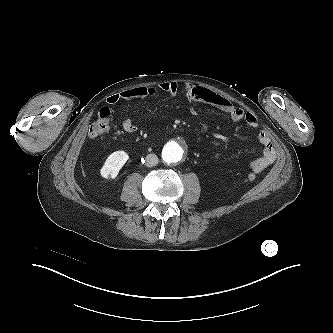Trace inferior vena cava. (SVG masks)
I'll list each match as a JSON object with an SVG mask.
<instances>
[{"label":"inferior vena cava","mask_w":333,"mask_h":333,"mask_svg":"<svg viewBox=\"0 0 333 333\" xmlns=\"http://www.w3.org/2000/svg\"><path fill=\"white\" fill-rule=\"evenodd\" d=\"M158 157L155 154H148L146 156V166L147 167H152L158 164Z\"/></svg>","instance_id":"inferior-vena-cava-1"}]
</instances>
